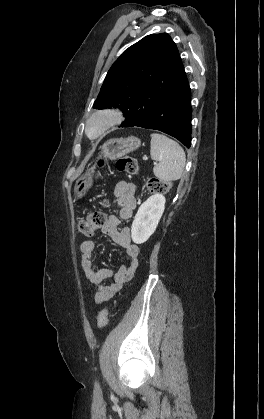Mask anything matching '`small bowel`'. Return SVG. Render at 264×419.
Listing matches in <instances>:
<instances>
[{"mask_svg":"<svg viewBox=\"0 0 264 419\" xmlns=\"http://www.w3.org/2000/svg\"><path fill=\"white\" fill-rule=\"evenodd\" d=\"M113 195L119 206V215H109L101 231L125 250L128 264L122 265L114 275L110 268L97 269L93 266L96 242L85 240L80 246L82 268L87 279L94 286V300L98 304L110 300L121 290L123 285L133 277L139 261V247L131 239L130 228H119L121 221H128L132 218L136 207L135 185L119 181L114 186ZM110 277H113L112 282L105 283V280Z\"/></svg>","mask_w":264,"mask_h":419,"instance_id":"small-bowel-1","label":"small bowel"}]
</instances>
